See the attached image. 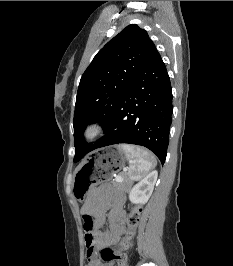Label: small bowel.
Listing matches in <instances>:
<instances>
[{
	"instance_id": "small-bowel-1",
	"label": "small bowel",
	"mask_w": 233,
	"mask_h": 266,
	"mask_svg": "<svg viewBox=\"0 0 233 266\" xmlns=\"http://www.w3.org/2000/svg\"><path fill=\"white\" fill-rule=\"evenodd\" d=\"M83 214L92 219L90 229L83 225L87 266H106L97 259V254L100 249L116 244L125 231L124 196L110 186L94 189L84 204ZM106 220L108 229L103 228Z\"/></svg>"
}]
</instances>
